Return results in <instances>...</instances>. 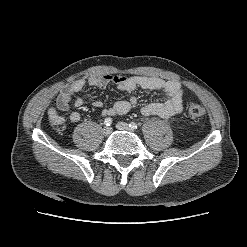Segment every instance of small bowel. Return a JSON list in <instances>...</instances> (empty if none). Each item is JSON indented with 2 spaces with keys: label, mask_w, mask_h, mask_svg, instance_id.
<instances>
[{
  "label": "small bowel",
  "mask_w": 247,
  "mask_h": 247,
  "mask_svg": "<svg viewBox=\"0 0 247 247\" xmlns=\"http://www.w3.org/2000/svg\"><path fill=\"white\" fill-rule=\"evenodd\" d=\"M111 83L117 85L119 90L128 94L133 93L138 88L150 91H162L165 95V101L151 102L144 105L141 108V112L145 116L154 115L169 118L180 114L183 110V88L177 81H165L156 77L106 74L92 76L88 80L78 79L68 84L48 109L49 121L54 126L64 125L66 119L60 112L69 109L75 94L81 91L87 84L92 87L104 88ZM136 102V97L131 95L127 100L116 101L111 107H103V103L100 100L91 101V105L96 108H102V114L104 116H115L126 114ZM86 103L87 101L83 98H76L74 100L75 107H82ZM80 118V113L77 111H73L69 115V119L73 123L78 122Z\"/></svg>",
  "instance_id": "1"
}]
</instances>
